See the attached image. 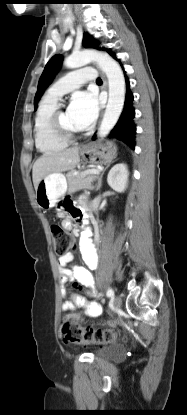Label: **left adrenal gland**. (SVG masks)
Listing matches in <instances>:
<instances>
[{"mask_svg": "<svg viewBox=\"0 0 187 415\" xmlns=\"http://www.w3.org/2000/svg\"><path fill=\"white\" fill-rule=\"evenodd\" d=\"M109 167V165H107L102 171H101V173H100V175H98V176H96V179L98 180V183H97V185H96V191H98L100 188H101V186H102V177H103V174H104V172L106 171V169Z\"/></svg>", "mask_w": 187, "mask_h": 415, "instance_id": "obj_1", "label": "left adrenal gland"}]
</instances>
